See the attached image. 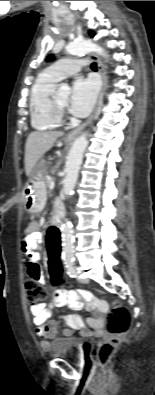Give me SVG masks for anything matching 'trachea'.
Listing matches in <instances>:
<instances>
[{"instance_id": "3493384b", "label": "trachea", "mask_w": 155, "mask_h": 395, "mask_svg": "<svg viewBox=\"0 0 155 395\" xmlns=\"http://www.w3.org/2000/svg\"><path fill=\"white\" fill-rule=\"evenodd\" d=\"M91 69L96 70L97 69V64L96 63H92L91 64Z\"/></svg>"}]
</instances>
